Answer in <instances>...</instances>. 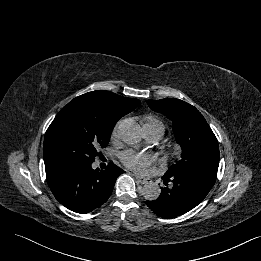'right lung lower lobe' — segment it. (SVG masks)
<instances>
[{
    "label": "right lung lower lobe",
    "mask_w": 261,
    "mask_h": 261,
    "mask_svg": "<svg viewBox=\"0 0 261 261\" xmlns=\"http://www.w3.org/2000/svg\"><path fill=\"white\" fill-rule=\"evenodd\" d=\"M93 162L45 167L47 182L55 198L74 212L88 213L101 206L111 195L118 176L125 172L113 163L103 171L93 169Z\"/></svg>",
    "instance_id": "98d812e1"
}]
</instances>
